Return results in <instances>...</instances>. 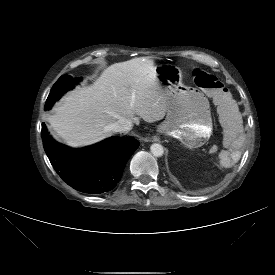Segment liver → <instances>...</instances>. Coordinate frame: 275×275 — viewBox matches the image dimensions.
<instances>
[{"instance_id": "6515ba94", "label": "liver", "mask_w": 275, "mask_h": 275, "mask_svg": "<svg viewBox=\"0 0 275 275\" xmlns=\"http://www.w3.org/2000/svg\"><path fill=\"white\" fill-rule=\"evenodd\" d=\"M166 110L153 60L133 58L109 66L92 86L68 93L47 120L57 138L81 147L110 136V125L120 119L152 123Z\"/></svg>"}]
</instances>
